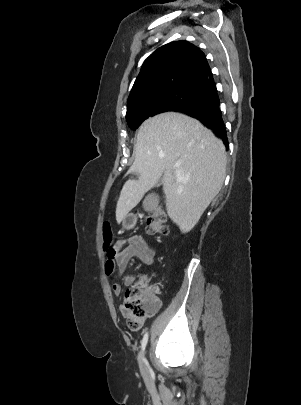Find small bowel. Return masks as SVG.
Segmentation results:
<instances>
[{
    "label": "small bowel",
    "instance_id": "small-bowel-1",
    "mask_svg": "<svg viewBox=\"0 0 301 405\" xmlns=\"http://www.w3.org/2000/svg\"><path fill=\"white\" fill-rule=\"evenodd\" d=\"M115 245L117 252L111 260L107 259L105 270L108 275L113 274V272L117 270L123 285L129 286L135 281L134 276L125 274L128 265L133 259H138L146 265H152L155 262V250L141 235H133L128 238L119 239ZM122 284L113 283L112 290L115 295H121ZM159 307L160 302L158 308Z\"/></svg>",
    "mask_w": 301,
    "mask_h": 405
}]
</instances>
